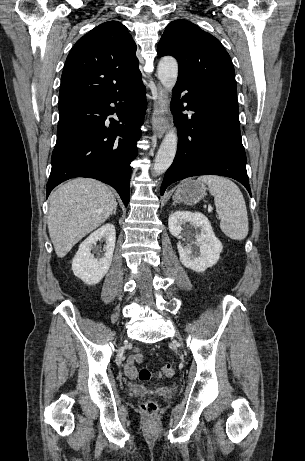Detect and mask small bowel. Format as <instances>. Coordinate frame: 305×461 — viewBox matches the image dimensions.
I'll use <instances>...</instances> for the list:
<instances>
[{
  "label": "small bowel",
  "mask_w": 305,
  "mask_h": 461,
  "mask_svg": "<svg viewBox=\"0 0 305 461\" xmlns=\"http://www.w3.org/2000/svg\"><path fill=\"white\" fill-rule=\"evenodd\" d=\"M144 358L140 353V350L137 349L136 353L129 357L127 360L125 366H124V372L125 374L130 377V378H135L137 376V368H136V363H143Z\"/></svg>",
  "instance_id": "small-bowel-1"
}]
</instances>
